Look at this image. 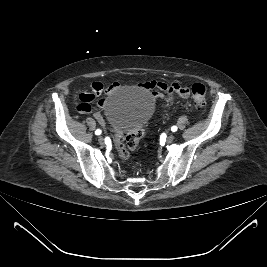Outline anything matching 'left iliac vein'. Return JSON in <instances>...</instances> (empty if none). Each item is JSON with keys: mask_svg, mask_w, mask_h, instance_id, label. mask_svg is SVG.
Listing matches in <instances>:
<instances>
[{"mask_svg": "<svg viewBox=\"0 0 267 267\" xmlns=\"http://www.w3.org/2000/svg\"><path fill=\"white\" fill-rule=\"evenodd\" d=\"M175 139V136L173 134L169 135L166 139L167 143H172Z\"/></svg>", "mask_w": 267, "mask_h": 267, "instance_id": "1", "label": "left iliac vein"}]
</instances>
